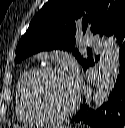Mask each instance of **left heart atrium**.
Returning <instances> with one entry per match:
<instances>
[{
    "label": "left heart atrium",
    "instance_id": "39dd6f15",
    "mask_svg": "<svg viewBox=\"0 0 125 128\" xmlns=\"http://www.w3.org/2000/svg\"><path fill=\"white\" fill-rule=\"evenodd\" d=\"M68 78L70 80V83L73 87V89L78 92L79 90V86H80V82H79V77L78 74L76 72L71 73L70 75H68Z\"/></svg>",
    "mask_w": 125,
    "mask_h": 128
}]
</instances>
